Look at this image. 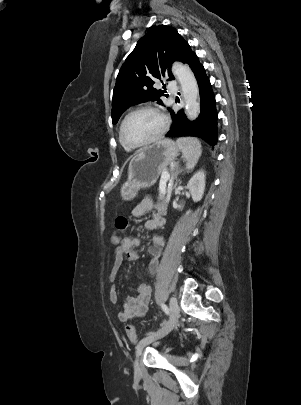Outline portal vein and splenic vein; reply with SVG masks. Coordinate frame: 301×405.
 I'll return each mask as SVG.
<instances>
[{"mask_svg":"<svg viewBox=\"0 0 301 405\" xmlns=\"http://www.w3.org/2000/svg\"><path fill=\"white\" fill-rule=\"evenodd\" d=\"M170 179V174L168 172H163L161 175V180L163 183H166L168 180ZM161 193L164 194L165 193V189H161Z\"/></svg>","mask_w":301,"mask_h":405,"instance_id":"18ae733b","label":"portal vein and splenic vein"}]
</instances>
